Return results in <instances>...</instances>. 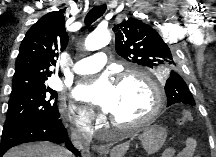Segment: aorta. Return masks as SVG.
<instances>
[{"instance_id":"obj_1","label":"aorta","mask_w":216,"mask_h":157,"mask_svg":"<svg viewBox=\"0 0 216 157\" xmlns=\"http://www.w3.org/2000/svg\"><path fill=\"white\" fill-rule=\"evenodd\" d=\"M110 33L107 30L97 29L85 40V48L89 51L99 50L105 47L110 41Z\"/></svg>"}]
</instances>
